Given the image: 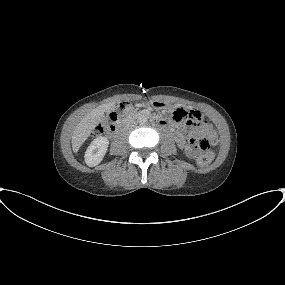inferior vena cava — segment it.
<instances>
[{"label":"inferior vena cava","mask_w":285,"mask_h":285,"mask_svg":"<svg viewBox=\"0 0 285 285\" xmlns=\"http://www.w3.org/2000/svg\"><path fill=\"white\" fill-rule=\"evenodd\" d=\"M135 125H136V123H132V124L128 125L127 128H132V127H134Z\"/></svg>","instance_id":"602c4592"}]
</instances>
